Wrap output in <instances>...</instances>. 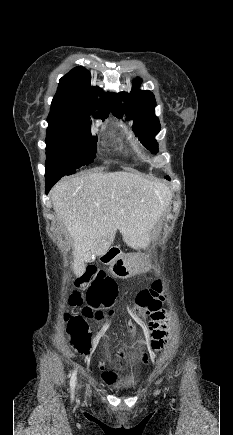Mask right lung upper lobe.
<instances>
[{
  "label": "right lung upper lobe",
  "instance_id": "right-lung-upper-lobe-1",
  "mask_svg": "<svg viewBox=\"0 0 233 435\" xmlns=\"http://www.w3.org/2000/svg\"><path fill=\"white\" fill-rule=\"evenodd\" d=\"M91 74L84 67H76L59 80L47 121H61L89 117L98 109V115L110 113L109 93L90 84ZM103 95L101 99L98 96Z\"/></svg>",
  "mask_w": 233,
  "mask_h": 435
}]
</instances>
